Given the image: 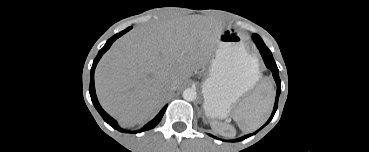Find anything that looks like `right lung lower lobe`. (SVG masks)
<instances>
[{
    "mask_svg": "<svg viewBox=\"0 0 369 152\" xmlns=\"http://www.w3.org/2000/svg\"><path fill=\"white\" fill-rule=\"evenodd\" d=\"M132 27H128L127 29H125L124 31L114 35L113 37H111L105 44V46L99 51L97 57L95 58L92 68H91V78H90V87H89V92H90V96H91V100L95 106V108L97 109V111L100 113V115L103 117V119L113 128L117 129L120 132H127L126 130L122 129L117 122L110 117L100 106L97 97H96V93H95V86H94V71H95V67L98 63V61L100 60V58L102 57V55L110 48V46L112 45V43L119 38L120 36H122L124 33H126L127 31H129ZM167 108V105L159 112V114L152 120L150 121L147 125H145L142 129L138 130V131H134L133 133H139V132H143L149 129L154 128L161 120V118L163 117L165 110Z\"/></svg>",
    "mask_w": 369,
    "mask_h": 152,
    "instance_id": "98d812e1",
    "label": "right lung lower lobe"
}]
</instances>
